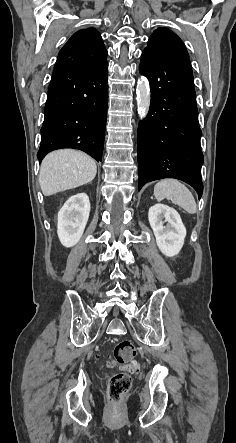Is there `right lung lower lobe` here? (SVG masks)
<instances>
[{
  "label": "right lung lower lobe",
  "mask_w": 236,
  "mask_h": 443,
  "mask_svg": "<svg viewBox=\"0 0 236 443\" xmlns=\"http://www.w3.org/2000/svg\"><path fill=\"white\" fill-rule=\"evenodd\" d=\"M108 103V65L96 70L53 71L41 128L39 161L61 148L102 160Z\"/></svg>",
  "instance_id": "98d812e1"
}]
</instances>
